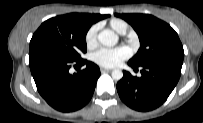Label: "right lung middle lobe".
Wrapping results in <instances>:
<instances>
[{
    "label": "right lung middle lobe",
    "mask_w": 203,
    "mask_h": 123,
    "mask_svg": "<svg viewBox=\"0 0 203 123\" xmlns=\"http://www.w3.org/2000/svg\"><path fill=\"white\" fill-rule=\"evenodd\" d=\"M90 26L78 13L51 18L33 34L29 55L38 53L80 60V53L87 51L85 36Z\"/></svg>",
    "instance_id": "1"
}]
</instances>
